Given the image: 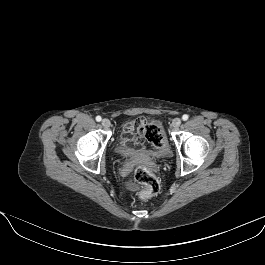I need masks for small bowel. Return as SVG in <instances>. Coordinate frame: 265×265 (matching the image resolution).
<instances>
[{
    "label": "small bowel",
    "mask_w": 265,
    "mask_h": 265,
    "mask_svg": "<svg viewBox=\"0 0 265 265\" xmlns=\"http://www.w3.org/2000/svg\"><path fill=\"white\" fill-rule=\"evenodd\" d=\"M144 119H138L128 122L123 129L121 140L124 145L127 146L128 153L132 152L130 147L133 144L136 147H140L143 144V134L140 127L145 123Z\"/></svg>",
    "instance_id": "small-bowel-1"
}]
</instances>
